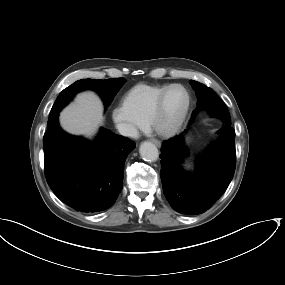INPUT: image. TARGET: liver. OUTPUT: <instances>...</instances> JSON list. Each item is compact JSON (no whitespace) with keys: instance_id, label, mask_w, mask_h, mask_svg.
Here are the masks:
<instances>
[{"instance_id":"6515ba94","label":"liver","mask_w":285,"mask_h":285,"mask_svg":"<svg viewBox=\"0 0 285 285\" xmlns=\"http://www.w3.org/2000/svg\"><path fill=\"white\" fill-rule=\"evenodd\" d=\"M103 105L93 92L77 95L75 101L67 106L59 117L62 128L74 135L91 137L103 122Z\"/></svg>"}]
</instances>
